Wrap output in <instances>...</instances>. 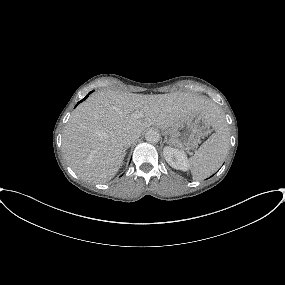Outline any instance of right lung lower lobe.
I'll return each mask as SVG.
<instances>
[{"label":"right lung lower lobe","instance_id":"1","mask_svg":"<svg viewBox=\"0 0 285 285\" xmlns=\"http://www.w3.org/2000/svg\"><path fill=\"white\" fill-rule=\"evenodd\" d=\"M87 97H88V95H87L84 99H82L81 101H79L78 104H79L80 102L84 101Z\"/></svg>","mask_w":285,"mask_h":285}]
</instances>
